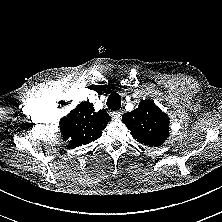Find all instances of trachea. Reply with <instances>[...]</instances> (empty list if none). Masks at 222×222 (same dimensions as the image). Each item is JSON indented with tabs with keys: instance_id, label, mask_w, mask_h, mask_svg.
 Returning <instances> with one entry per match:
<instances>
[{
	"instance_id": "1",
	"label": "trachea",
	"mask_w": 222,
	"mask_h": 222,
	"mask_svg": "<svg viewBox=\"0 0 222 222\" xmlns=\"http://www.w3.org/2000/svg\"><path fill=\"white\" fill-rule=\"evenodd\" d=\"M106 105L109 109L116 111L121 107V97L118 93L113 92L107 99Z\"/></svg>"
}]
</instances>
